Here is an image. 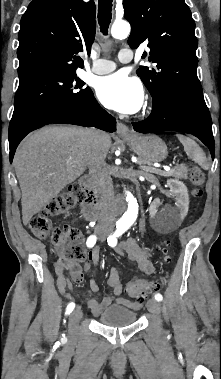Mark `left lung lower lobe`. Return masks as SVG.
Segmentation results:
<instances>
[{"mask_svg": "<svg viewBox=\"0 0 221 379\" xmlns=\"http://www.w3.org/2000/svg\"><path fill=\"white\" fill-rule=\"evenodd\" d=\"M132 125L140 133L179 131L193 134L209 148L214 157L212 121L204 98L172 92L158 93L153 98L150 116Z\"/></svg>", "mask_w": 221, "mask_h": 379, "instance_id": "obj_1", "label": "left lung lower lobe"}]
</instances>
